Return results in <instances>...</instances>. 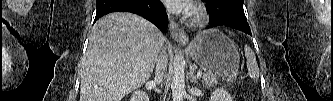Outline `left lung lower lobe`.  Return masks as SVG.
<instances>
[{
	"instance_id": "0a47b994",
	"label": "left lung lower lobe",
	"mask_w": 333,
	"mask_h": 101,
	"mask_svg": "<svg viewBox=\"0 0 333 101\" xmlns=\"http://www.w3.org/2000/svg\"><path fill=\"white\" fill-rule=\"evenodd\" d=\"M210 15L208 28L224 25L251 35L246 20L243 3L244 0H204Z\"/></svg>"
}]
</instances>
